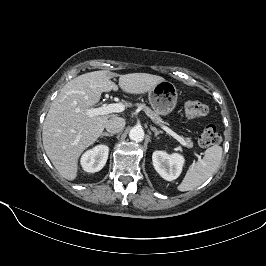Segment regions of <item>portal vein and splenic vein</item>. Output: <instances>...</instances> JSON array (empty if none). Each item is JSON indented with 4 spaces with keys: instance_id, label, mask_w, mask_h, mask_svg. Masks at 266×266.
I'll return each instance as SVG.
<instances>
[{
    "instance_id": "obj_1",
    "label": "portal vein and splenic vein",
    "mask_w": 266,
    "mask_h": 266,
    "mask_svg": "<svg viewBox=\"0 0 266 266\" xmlns=\"http://www.w3.org/2000/svg\"><path fill=\"white\" fill-rule=\"evenodd\" d=\"M125 110V105L123 103H113L106 106H101L98 108H91L86 110V114L89 117H94L98 115H107L110 113H119ZM163 130L169 133L172 137H174L177 141H179L182 145L186 146V142L183 137L179 136L169 127L164 125H159Z\"/></svg>"
}]
</instances>
